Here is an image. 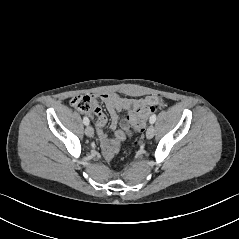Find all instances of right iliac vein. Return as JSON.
<instances>
[{
	"mask_svg": "<svg viewBox=\"0 0 239 239\" xmlns=\"http://www.w3.org/2000/svg\"><path fill=\"white\" fill-rule=\"evenodd\" d=\"M85 134L88 136V137H93L94 135V129L92 126H87L86 129H85Z\"/></svg>",
	"mask_w": 239,
	"mask_h": 239,
	"instance_id": "right-iliac-vein-1",
	"label": "right iliac vein"
}]
</instances>
